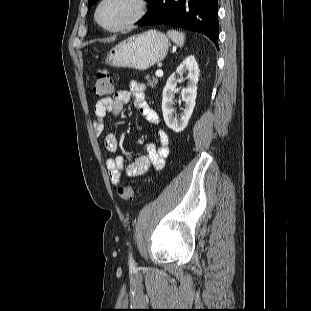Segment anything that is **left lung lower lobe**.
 <instances>
[{
    "mask_svg": "<svg viewBox=\"0 0 311 311\" xmlns=\"http://www.w3.org/2000/svg\"><path fill=\"white\" fill-rule=\"evenodd\" d=\"M149 9L136 23L139 26L165 24L209 37L218 43L217 0H148Z\"/></svg>",
    "mask_w": 311,
    "mask_h": 311,
    "instance_id": "left-lung-lower-lobe-1",
    "label": "left lung lower lobe"
}]
</instances>
